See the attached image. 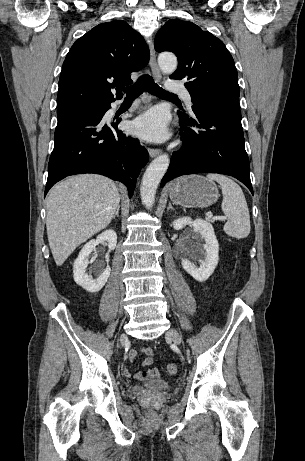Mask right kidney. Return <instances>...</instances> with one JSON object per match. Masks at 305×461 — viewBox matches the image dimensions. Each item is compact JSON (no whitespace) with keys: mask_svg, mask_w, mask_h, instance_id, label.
Wrapping results in <instances>:
<instances>
[{"mask_svg":"<svg viewBox=\"0 0 305 461\" xmlns=\"http://www.w3.org/2000/svg\"><path fill=\"white\" fill-rule=\"evenodd\" d=\"M103 241L107 242L110 250H114L117 244L116 232L112 229L106 230L102 234L98 235L96 239L90 240L86 243L80 251L73 266L74 281L83 289L91 293L98 292L103 288L111 272V268L107 265L105 268L97 269L96 278H93L91 275L86 273V268L89 264V255L93 252L95 247Z\"/></svg>","mask_w":305,"mask_h":461,"instance_id":"obj_1","label":"right kidney"}]
</instances>
